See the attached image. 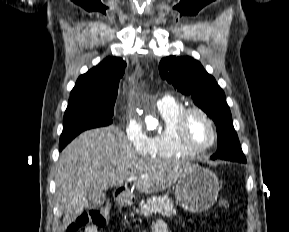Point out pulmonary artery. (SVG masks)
Here are the masks:
<instances>
[{"label":"pulmonary artery","mask_w":289,"mask_h":232,"mask_svg":"<svg viewBox=\"0 0 289 232\" xmlns=\"http://www.w3.org/2000/svg\"><path fill=\"white\" fill-rule=\"evenodd\" d=\"M170 100H171V97H169V96H164V97H162V98H160V99L158 100L157 106H161V105L167 103V102L170 101Z\"/></svg>","instance_id":"obj_1"}]
</instances>
